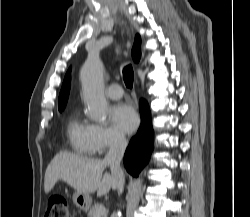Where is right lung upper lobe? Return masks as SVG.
I'll return each mask as SVG.
<instances>
[{
  "instance_id": "1",
  "label": "right lung upper lobe",
  "mask_w": 250,
  "mask_h": 217,
  "mask_svg": "<svg viewBox=\"0 0 250 217\" xmlns=\"http://www.w3.org/2000/svg\"><path fill=\"white\" fill-rule=\"evenodd\" d=\"M132 57L135 62H138L141 57V38L139 35H136L134 45L132 48ZM70 83H71V68L65 75L63 85L60 91L59 99H58V108L59 110H63L66 106L69 91H70Z\"/></svg>"
}]
</instances>
